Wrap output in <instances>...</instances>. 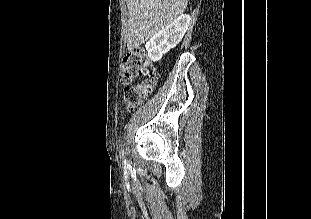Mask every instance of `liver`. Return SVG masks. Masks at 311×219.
<instances>
[{
  "mask_svg": "<svg viewBox=\"0 0 311 219\" xmlns=\"http://www.w3.org/2000/svg\"><path fill=\"white\" fill-rule=\"evenodd\" d=\"M188 0H127V48L133 50L180 17Z\"/></svg>",
  "mask_w": 311,
  "mask_h": 219,
  "instance_id": "6515ba94",
  "label": "liver"
}]
</instances>
